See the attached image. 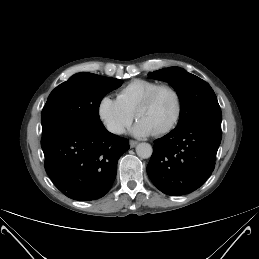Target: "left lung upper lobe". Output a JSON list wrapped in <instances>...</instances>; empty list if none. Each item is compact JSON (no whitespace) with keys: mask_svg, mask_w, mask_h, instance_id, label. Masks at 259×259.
Masks as SVG:
<instances>
[{"mask_svg":"<svg viewBox=\"0 0 259 259\" xmlns=\"http://www.w3.org/2000/svg\"><path fill=\"white\" fill-rule=\"evenodd\" d=\"M150 78L168 82L180 99V117L176 129L193 122L221 124L222 113L210 85L180 67H169L148 74Z\"/></svg>","mask_w":259,"mask_h":259,"instance_id":"1","label":"left lung upper lobe"}]
</instances>
